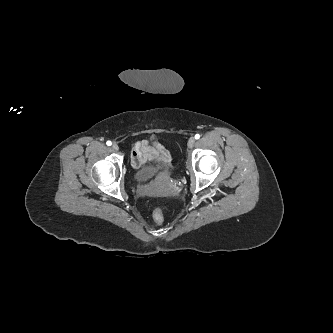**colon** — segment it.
Masks as SVG:
<instances>
[{
	"label": "colon",
	"instance_id": "colon-1",
	"mask_svg": "<svg viewBox=\"0 0 333 333\" xmlns=\"http://www.w3.org/2000/svg\"><path fill=\"white\" fill-rule=\"evenodd\" d=\"M153 220L157 225H162L164 222L163 212L160 208H156L153 212Z\"/></svg>",
	"mask_w": 333,
	"mask_h": 333
}]
</instances>
